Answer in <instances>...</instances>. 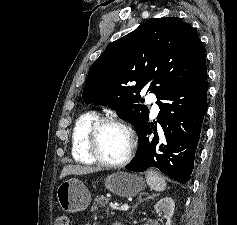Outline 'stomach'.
<instances>
[{"mask_svg": "<svg viewBox=\"0 0 237 225\" xmlns=\"http://www.w3.org/2000/svg\"><path fill=\"white\" fill-rule=\"evenodd\" d=\"M105 187L117 196L131 197L143 190L144 181L136 174L115 172L106 177ZM56 196L62 210L70 213L86 209L91 200L88 188L76 178L63 181L57 187Z\"/></svg>", "mask_w": 237, "mask_h": 225, "instance_id": "0dacf381", "label": "stomach"}]
</instances>
